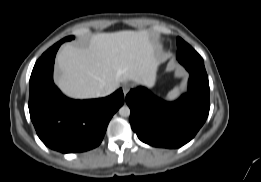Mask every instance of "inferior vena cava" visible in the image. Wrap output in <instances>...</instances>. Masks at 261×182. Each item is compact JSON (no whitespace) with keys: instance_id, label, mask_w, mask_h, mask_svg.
<instances>
[{"instance_id":"obj_1","label":"inferior vena cava","mask_w":261,"mask_h":182,"mask_svg":"<svg viewBox=\"0 0 261 182\" xmlns=\"http://www.w3.org/2000/svg\"><path fill=\"white\" fill-rule=\"evenodd\" d=\"M112 92H113V89L109 87V88L103 89V90L99 93V95H100V96H106V95L111 94Z\"/></svg>"}]
</instances>
